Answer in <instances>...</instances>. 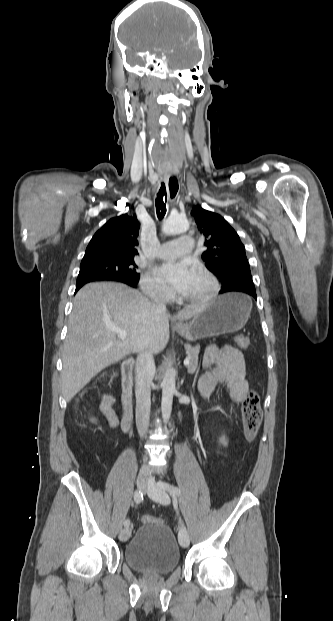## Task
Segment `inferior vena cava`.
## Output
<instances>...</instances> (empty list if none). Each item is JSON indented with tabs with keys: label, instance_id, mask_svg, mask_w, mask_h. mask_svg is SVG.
<instances>
[{
	"label": "inferior vena cava",
	"instance_id": "obj_1",
	"mask_svg": "<svg viewBox=\"0 0 333 621\" xmlns=\"http://www.w3.org/2000/svg\"><path fill=\"white\" fill-rule=\"evenodd\" d=\"M157 310L165 312L166 306L160 300H153ZM155 372L153 354L147 350L138 354L135 368L136 426L140 437H144L149 426L151 407V381Z\"/></svg>",
	"mask_w": 333,
	"mask_h": 621
}]
</instances>
